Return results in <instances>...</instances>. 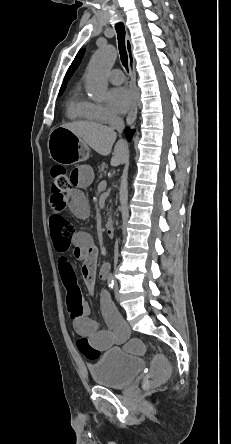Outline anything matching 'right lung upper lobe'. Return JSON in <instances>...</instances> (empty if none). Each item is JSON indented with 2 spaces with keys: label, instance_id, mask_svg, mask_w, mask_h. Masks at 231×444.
<instances>
[{
  "label": "right lung upper lobe",
  "instance_id": "cb5924a9",
  "mask_svg": "<svg viewBox=\"0 0 231 444\" xmlns=\"http://www.w3.org/2000/svg\"><path fill=\"white\" fill-rule=\"evenodd\" d=\"M84 54V49H82L81 51H79V53L76 55L74 61L72 62V64L70 65L69 69L66 72L65 78H64V82L61 86V88H65L66 87V83L67 81L70 79V77L72 76V74L74 73V71L77 69V67L79 66L81 59L83 57Z\"/></svg>",
  "mask_w": 231,
  "mask_h": 444
}]
</instances>
